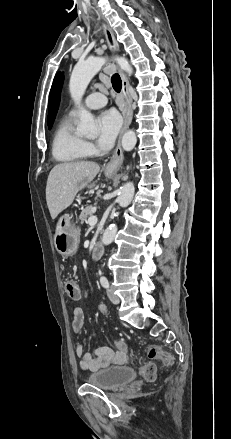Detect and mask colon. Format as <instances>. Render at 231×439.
Returning <instances> with one entry per match:
<instances>
[{
    "instance_id": "obj_1",
    "label": "colon",
    "mask_w": 231,
    "mask_h": 439,
    "mask_svg": "<svg viewBox=\"0 0 231 439\" xmlns=\"http://www.w3.org/2000/svg\"><path fill=\"white\" fill-rule=\"evenodd\" d=\"M65 292L68 298H81L82 295L81 289H79L73 280L66 281ZM146 355L149 359L160 360L165 366H171L173 364V356L159 346H148L146 348ZM139 373L146 381H153L155 379L156 369L153 364H144L139 368Z\"/></svg>"
}]
</instances>
